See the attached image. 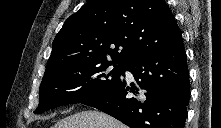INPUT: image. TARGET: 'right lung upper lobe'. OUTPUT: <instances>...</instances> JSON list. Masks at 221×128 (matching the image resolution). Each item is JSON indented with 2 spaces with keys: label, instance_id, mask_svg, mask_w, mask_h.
<instances>
[{
  "label": "right lung upper lobe",
  "instance_id": "1",
  "mask_svg": "<svg viewBox=\"0 0 221 128\" xmlns=\"http://www.w3.org/2000/svg\"><path fill=\"white\" fill-rule=\"evenodd\" d=\"M182 41L164 0H89L56 35L46 71L75 61L127 65Z\"/></svg>",
  "mask_w": 221,
  "mask_h": 128
}]
</instances>
